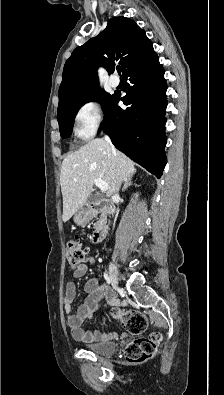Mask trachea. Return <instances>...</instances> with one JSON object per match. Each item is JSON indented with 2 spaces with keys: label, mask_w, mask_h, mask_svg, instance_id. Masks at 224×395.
I'll list each match as a JSON object with an SVG mask.
<instances>
[{
  "label": "trachea",
  "mask_w": 224,
  "mask_h": 395,
  "mask_svg": "<svg viewBox=\"0 0 224 395\" xmlns=\"http://www.w3.org/2000/svg\"><path fill=\"white\" fill-rule=\"evenodd\" d=\"M121 71H122V68H121V67H118V68H117V72H118V74H120V73H121Z\"/></svg>",
  "instance_id": "obj_1"
}]
</instances>
